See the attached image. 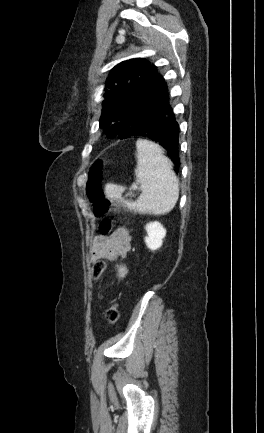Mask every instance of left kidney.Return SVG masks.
I'll list each match as a JSON object with an SVG mask.
<instances>
[{
  "label": "left kidney",
  "mask_w": 264,
  "mask_h": 433,
  "mask_svg": "<svg viewBox=\"0 0 264 433\" xmlns=\"http://www.w3.org/2000/svg\"><path fill=\"white\" fill-rule=\"evenodd\" d=\"M145 229L147 231V236L145 237L147 247L153 251L159 249L166 236V229L157 221L148 223Z\"/></svg>",
  "instance_id": "5707ae66"
}]
</instances>
